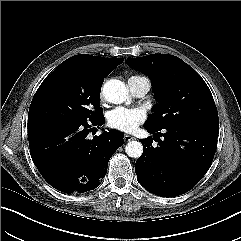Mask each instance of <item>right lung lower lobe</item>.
Masks as SVG:
<instances>
[{"label":"right lung lower lobe","mask_w":241,"mask_h":241,"mask_svg":"<svg viewBox=\"0 0 241 241\" xmlns=\"http://www.w3.org/2000/svg\"><path fill=\"white\" fill-rule=\"evenodd\" d=\"M103 114L91 120L102 126ZM88 122L46 121L28 125L31 156L42 177L64 193H83L100 185L110 157L123 145V133L104 131L87 138Z\"/></svg>","instance_id":"98d812e1"}]
</instances>
